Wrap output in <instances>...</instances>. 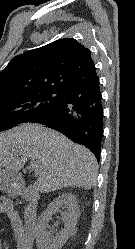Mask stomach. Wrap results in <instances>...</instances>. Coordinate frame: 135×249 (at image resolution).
I'll list each match as a JSON object with an SVG mask.
<instances>
[{
	"label": "stomach",
	"instance_id": "1",
	"mask_svg": "<svg viewBox=\"0 0 135 249\" xmlns=\"http://www.w3.org/2000/svg\"><path fill=\"white\" fill-rule=\"evenodd\" d=\"M14 184H18L16 175L12 171L0 168V188L10 191Z\"/></svg>",
	"mask_w": 135,
	"mask_h": 249
}]
</instances>
